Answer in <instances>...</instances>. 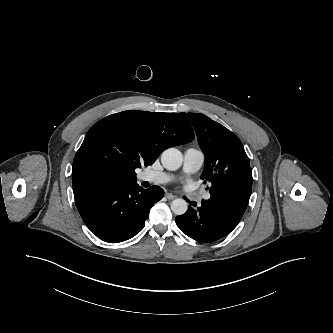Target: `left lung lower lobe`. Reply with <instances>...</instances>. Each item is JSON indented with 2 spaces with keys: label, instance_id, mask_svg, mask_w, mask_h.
Here are the masks:
<instances>
[{
  "label": "left lung lower lobe",
  "instance_id": "obj_1",
  "mask_svg": "<svg viewBox=\"0 0 333 333\" xmlns=\"http://www.w3.org/2000/svg\"><path fill=\"white\" fill-rule=\"evenodd\" d=\"M252 190V172L247 167L223 176L211 198L203 200L197 209L194 201L185 214L176 218V224L187 236L211 243L228 235L242 218Z\"/></svg>",
  "mask_w": 333,
  "mask_h": 333
}]
</instances>
